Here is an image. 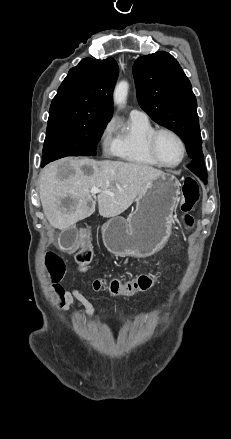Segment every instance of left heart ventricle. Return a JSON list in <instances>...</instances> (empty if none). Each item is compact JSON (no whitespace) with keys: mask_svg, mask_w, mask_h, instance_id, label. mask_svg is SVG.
I'll return each instance as SVG.
<instances>
[{"mask_svg":"<svg viewBox=\"0 0 231 439\" xmlns=\"http://www.w3.org/2000/svg\"><path fill=\"white\" fill-rule=\"evenodd\" d=\"M156 148L160 159L166 164H175L181 157L179 142L168 133H162L158 136Z\"/></svg>","mask_w":231,"mask_h":439,"instance_id":"obj_1","label":"left heart ventricle"}]
</instances>
